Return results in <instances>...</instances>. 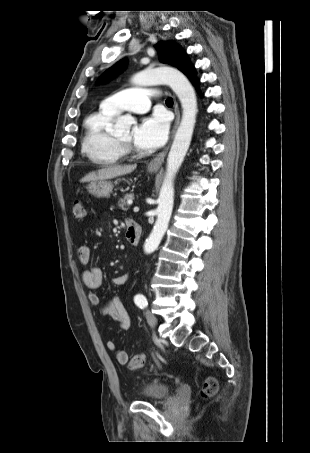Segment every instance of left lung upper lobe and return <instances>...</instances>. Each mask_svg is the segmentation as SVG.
Instances as JSON below:
<instances>
[{
    "mask_svg": "<svg viewBox=\"0 0 310 453\" xmlns=\"http://www.w3.org/2000/svg\"><path fill=\"white\" fill-rule=\"evenodd\" d=\"M156 49L159 54V60L162 63L170 64L177 67L179 70L182 65L188 60L187 55L183 52L182 48L174 42H160L157 44ZM126 66V61L121 60L114 66L109 68L99 79V81H107L120 73Z\"/></svg>",
    "mask_w": 310,
    "mask_h": 453,
    "instance_id": "1",
    "label": "left lung upper lobe"
}]
</instances>
